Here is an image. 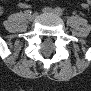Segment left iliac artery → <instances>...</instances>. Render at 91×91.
I'll use <instances>...</instances> for the list:
<instances>
[{
    "label": "left iliac artery",
    "instance_id": "left-iliac-artery-1",
    "mask_svg": "<svg viewBox=\"0 0 91 91\" xmlns=\"http://www.w3.org/2000/svg\"><path fill=\"white\" fill-rule=\"evenodd\" d=\"M55 11L59 14V15H63V10L60 7H56Z\"/></svg>",
    "mask_w": 91,
    "mask_h": 91
}]
</instances>
